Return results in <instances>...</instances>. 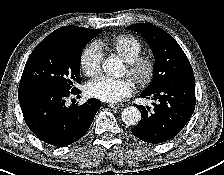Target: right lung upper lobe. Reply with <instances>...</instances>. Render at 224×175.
<instances>
[{"label": "right lung upper lobe", "mask_w": 224, "mask_h": 175, "mask_svg": "<svg viewBox=\"0 0 224 175\" xmlns=\"http://www.w3.org/2000/svg\"><path fill=\"white\" fill-rule=\"evenodd\" d=\"M86 30H96V29H87L77 26H65L52 32L43 41H67L71 38L78 36L79 34H81Z\"/></svg>", "instance_id": "1"}]
</instances>
